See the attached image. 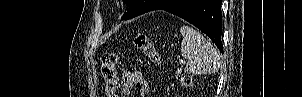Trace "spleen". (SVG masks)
<instances>
[{
	"mask_svg": "<svg viewBox=\"0 0 302 97\" xmlns=\"http://www.w3.org/2000/svg\"><path fill=\"white\" fill-rule=\"evenodd\" d=\"M181 54L187 59L185 71L192 74H212L221 65L220 54L201 33L189 26H182Z\"/></svg>",
	"mask_w": 302,
	"mask_h": 97,
	"instance_id": "1",
	"label": "spleen"
}]
</instances>
